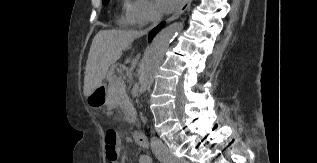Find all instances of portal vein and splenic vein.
<instances>
[{
  "mask_svg": "<svg viewBox=\"0 0 317 163\" xmlns=\"http://www.w3.org/2000/svg\"><path fill=\"white\" fill-rule=\"evenodd\" d=\"M117 84H118V85H122V83H121L119 80L117 81Z\"/></svg>",
  "mask_w": 317,
  "mask_h": 163,
  "instance_id": "1",
  "label": "portal vein and splenic vein"
}]
</instances>
